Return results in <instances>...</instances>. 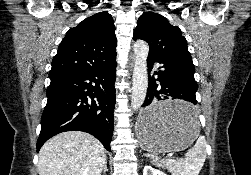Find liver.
I'll list each match as a JSON object with an SVG mask.
<instances>
[{
  "label": "liver",
  "instance_id": "1",
  "mask_svg": "<svg viewBox=\"0 0 251 175\" xmlns=\"http://www.w3.org/2000/svg\"><path fill=\"white\" fill-rule=\"evenodd\" d=\"M106 161L99 139L84 131H63L39 151V175H101Z\"/></svg>",
  "mask_w": 251,
  "mask_h": 175
}]
</instances>
